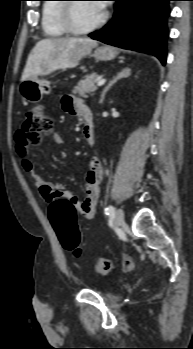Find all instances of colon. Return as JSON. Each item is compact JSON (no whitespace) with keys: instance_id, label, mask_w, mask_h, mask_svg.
Segmentation results:
<instances>
[{"instance_id":"5ec220e1","label":"colon","mask_w":193,"mask_h":349,"mask_svg":"<svg viewBox=\"0 0 193 349\" xmlns=\"http://www.w3.org/2000/svg\"><path fill=\"white\" fill-rule=\"evenodd\" d=\"M22 131L28 143H40L52 136L53 120L40 106L31 107L25 113ZM49 219L63 248L79 257L81 254L80 233L74 204L65 199L51 202ZM113 268V262L106 258H99L95 264L96 271L101 275L110 273Z\"/></svg>"}]
</instances>
